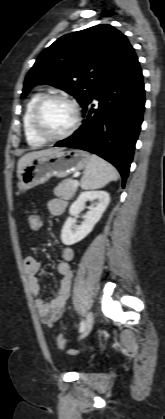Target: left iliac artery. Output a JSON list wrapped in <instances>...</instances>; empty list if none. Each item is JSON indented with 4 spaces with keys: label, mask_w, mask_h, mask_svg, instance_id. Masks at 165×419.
<instances>
[{
    "label": "left iliac artery",
    "mask_w": 165,
    "mask_h": 419,
    "mask_svg": "<svg viewBox=\"0 0 165 419\" xmlns=\"http://www.w3.org/2000/svg\"><path fill=\"white\" fill-rule=\"evenodd\" d=\"M84 324H85V322H84V320H82L80 322V325H79V332H82L84 330Z\"/></svg>",
    "instance_id": "44dca946"
}]
</instances>
